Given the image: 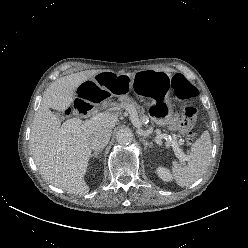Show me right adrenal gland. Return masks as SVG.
<instances>
[{"mask_svg": "<svg viewBox=\"0 0 248 248\" xmlns=\"http://www.w3.org/2000/svg\"><path fill=\"white\" fill-rule=\"evenodd\" d=\"M102 152V150H98V151H95L91 157H95V158H98V154H100Z\"/></svg>", "mask_w": 248, "mask_h": 248, "instance_id": "2a0ac1e0", "label": "right adrenal gland"}]
</instances>
